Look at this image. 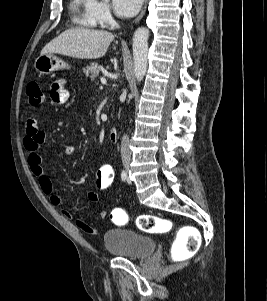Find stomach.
<instances>
[{
	"mask_svg": "<svg viewBox=\"0 0 267 301\" xmlns=\"http://www.w3.org/2000/svg\"><path fill=\"white\" fill-rule=\"evenodd\" d=\"M35 69L41 74H50L57 70L69 69V65L53 54L40 55L35 63Z\"/></svg>",
	"mask_w": 267,
	"mask_h": 301,
	"instance_id": "0dacf381",
	"label": "stomach"
}]
</instances>
